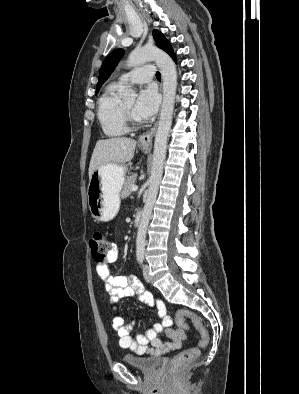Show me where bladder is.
Wrapping results in <instances>:
<instances>
[{
	"label": "bladder",
	"instance_id": "bladder-1",
	"mask_svg": "<svg viewBox=\"0 0 299 394\" xmlns=\"http://www.w3.org/2000/svg\"><path fill=\"white\" fill-rule=\"evenodd\" d=\"M122 361L143 373H152L160 365L161 360L157 357L138 356L133 354H124Z\"/></svg>",
	"mask_w": 299,
	"mask_h": 394
}]
</instances>
